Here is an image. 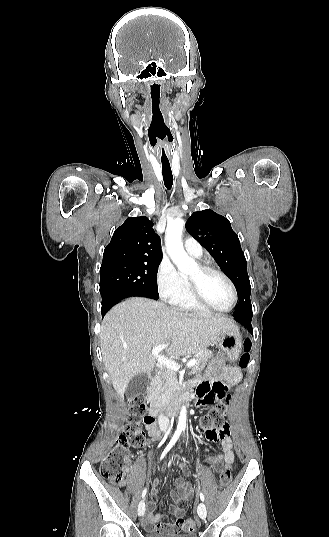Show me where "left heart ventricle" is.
<instances>
[{
    "mask_svg": "<svg viewBox=\"0 0 329 537\" xmlns=\"http://www.w3.org/2000/svg\"><path fill=\"white\" fill-rule=\"evenodd\" d=\"M193 280L204 299L218 309H227L232 303V292L228 284L220 276L213 273H202L195 266L187 275Z\"/></svg>",
    "mask_w": 329,
    "mask_h": 537,
    "instance_id": "obj_1",
    "label": "left heart ventricle"
}]
</instances>
